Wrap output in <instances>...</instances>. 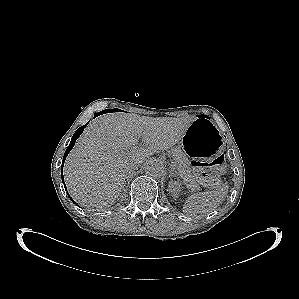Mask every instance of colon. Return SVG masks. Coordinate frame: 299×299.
<instances>
[{
    "label": "colon",
    "mask_w": 299,
    "mask_h": 299,
    "mask_svg": "<svg viewBox=\"0 0 299 299\" xmlns=\"http://www.w3.org/2000/svg\"><path fill=\"white\" fill-rule=\"evenodd\" d=\"M226 160L224 155H218L208 162L192 161L196 177L205 184H214L217 177L224 171Z\"/></svg>",
    "instance_id": "obj_1"
}]
</instances>
